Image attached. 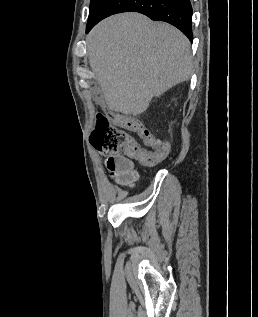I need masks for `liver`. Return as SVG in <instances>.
<instances>
[{"label": "liver", "instance_id": "liver-1", "mask_svg": "<svg viewBox=\"0 0 258 317\" xmlns=\"http://www.w3.org/2000/svg\"><path fill=\"white\" fill-rule=\"evenodd\" d=\"M86 40L89 64L116 112L141 114L153 96L188 80L193 72L187 36L139 12L104 18Z\"/></svg>", "mask_w": 258, "mask_h": 317}]
</instances>
